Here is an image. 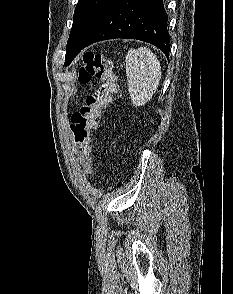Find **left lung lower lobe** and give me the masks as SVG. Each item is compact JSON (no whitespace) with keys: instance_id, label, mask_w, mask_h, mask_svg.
I'll return each mask as SVG.
<instances>
[{"instance_id":"1","label":"left lung lower lobe","mask_w":233,"mask_h":294,"mask_svg":"<svg viewBox=\"0 0 233 294\" xmlns=\"http://www.w3.org/2000/svg\"><path fill=\"white\" fill-rule=\"evenodd\" d=\"M167 19L163 0H111L82 49L106 39H137L158 47L168 58Z\"/></svg>"}]
</instances>
